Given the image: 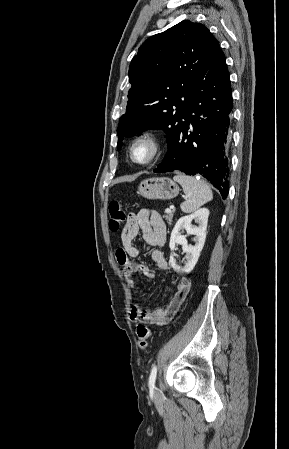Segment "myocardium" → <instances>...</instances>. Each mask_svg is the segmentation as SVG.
<instances>
[{
	"mask_svg": "<svg viewBox=\"0 0 289 449\" xmlns=\"http://www.w3.org/2000/svg\"><path fill=\"white\" fill-rule=\"evenodd\" d=\"M145 143L149 145L151 152L147 159L143 161L136 160L134 157V149L138 144ZM161 153V142L159 137L150 131H145L137 135L131 142L129 146V158L130 160L138 165H149L154 162Z\"/></svg>",
	"mask_w": 289,
	"mask_h": 449,
	"instance_id": "f54148a6",
	"label": "myocardium"
}]
</instances>
